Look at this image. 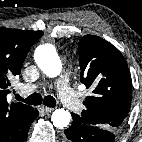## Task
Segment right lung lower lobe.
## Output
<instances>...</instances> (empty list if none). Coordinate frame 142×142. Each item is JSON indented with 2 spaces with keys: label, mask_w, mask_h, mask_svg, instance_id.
Listing matches in <instances>:
<instances>
[{
  "label": "right lung lower lobe",
  "mask_w": 142,
  "mask_h": 142,
  "mask_svg": "<svg viewBox=\"0 0 142 142\" xmlns=\"http://www.w3.org/2000/svg\"><path fill=\"white\" fill-rule=\"evenodd\" d=\"M38 115H39L38 110L34 109V112L32 114V118H31L30 122L28 123V125L26 127H24L22 133L18 136V138L15 142H24L26 140L30 124Z\"/></svg>",
  "instance_id": "98d812e1"
}]
</instances>
